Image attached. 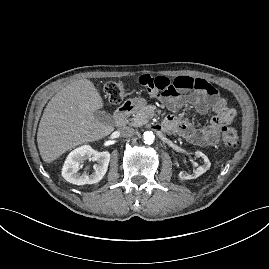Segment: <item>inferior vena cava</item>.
I'll list each match as a JSON object with an SVG mask.
<instances>
[{
    "label": "inferior vena cava",
    "instance_id": "1",
    "mask_svg": "<svg viewBox=\"0 0 269 269\" xmlns=\"http://www.w3.org/2000/svg\"><path fill=\"white\" fill-rule=\"evenodd\" d=\"M120 133L123 137H131L134 135L135 130L132 127H123L121 128Z\"/></svg>",
    "mask_w": 269,
    "mask_h": 269
}]
</instances>
